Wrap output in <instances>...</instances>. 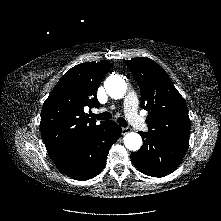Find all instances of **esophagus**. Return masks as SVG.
<instances>
[{
	"label": "esophagus",
	"mask_w": 221,
	"mask_h": 221,
	"mask_svg": "<svg viewBox=\"0 0 221 221\" xmlns=\"http://www.w3.org/2000/svg\"><path fill=\"white\" fill-rule=\"evenodd\" d=\"M130 128H128V127H123L122 128V134H127L128 132H130Z\"/></svg>",
	"instance_id": "34e87169"
}]
</instances>
